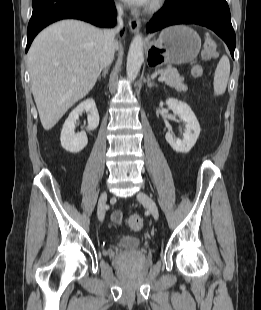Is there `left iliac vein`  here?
I'll list each match as a JSON object with an SVG mask.
<instances>
[{"instance_id":"obj_1","label":"left iliac vein","mask_w":261,"mask_h":310,"mask_svg":"<svg viewBox=\"0 0 261 310\" xmlns=\"http://www.w3.org/2000/svg\"><path fill=\"white\" fill-rule=\"evenodd\" d=\"M137 198L142 204H144L148 208L152 216L156 220H158L159 212H158V208L154 200L144 192H138Z\"/></svg>"}]
</instances>
